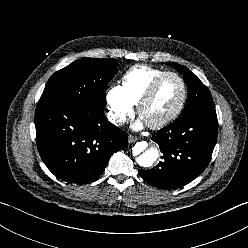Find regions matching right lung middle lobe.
I'll return each instance as SVG.
<instances>
[{"mask_svg": "<svg viewBox=\"0 0 248 248\" xmlns=\"http://www.w3.org/2000/svg\"><path fill=\"white\" fill-rule=\"evenodd\" d=\"M116 67V59H78L51 76L39 103L61 102L101 111L106 105L107 84L117 73Z\"/></svg>", "mask_w": 248, "mask_h": 248, "instance_id": "dd1d6c3e", "label": "right lung middle lobe"}]
</instances>
